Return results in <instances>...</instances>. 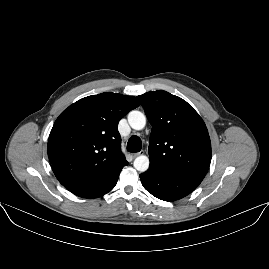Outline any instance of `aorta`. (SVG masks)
<instances>
[{
	"instance_id": "obj_1",
	"label": "aorta",
	"mask_w": 269,
	"mask_h": 269,
	"mask_svg": "<svg viewBox=\"0 0 269 269\" xmlns=\"http://www.w3.org/2000/svg\"><path fill=\"white\" fill-rule=\"evenodd\" d=\"M129 125L135 130H142L146 125V117L140 111H131L128 114ZM134 168L140 172H145L149 168V159L145 155H140L134 160Z\"/></svg>"
}]
</instances>
